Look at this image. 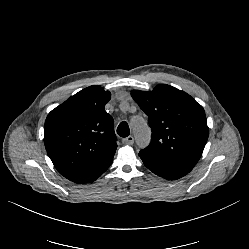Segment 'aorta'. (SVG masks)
Wrapping results in <instances>:
<instances>
[{
    "label": "aorta",
    "instance_id": "obj_1",
    "mask_svg": "<svg viewBox=\"0 0 249 249\" xmlns=\"http://www.w3.org/2000/svg\"><path fill=\"white\" fill-rule=\"evenodd\" d=\"M131 124L137 145L141 148L147 146L151 137L147 123L142 118H136Z\"/></svg>",
    "mask_w": 249,
    "mask_h": 249
}]
</instances>
